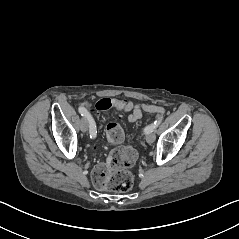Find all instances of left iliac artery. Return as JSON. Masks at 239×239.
Returning a JSON list of instances; mask_svg holds the SVG:
<instances>
[{
  "mask_svg": "<svg viewBox=\"0 0 239 239\" xmlns=\"http://www.w3.org/2000/svg\"><path fill=\"white\" fill-rule=\"evenodd\" d=\"M163 120V117H160L158 118L154 123L150 124L149 126H147L145 129H144V132L146 134L148 133H151L153 131H155V129L160 125V123L162 122Z\"/></svg>",
  "mask_w": 239,
  "mask_h": 239,
  "instance_id": "obj_1",
  "label": "left iliac artery"
}]
</instances>
